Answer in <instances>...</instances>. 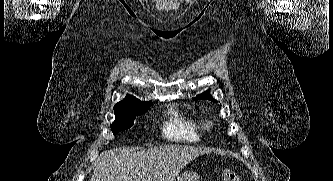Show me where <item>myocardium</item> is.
I'll return each instance as SVG.
<instances>
[{
  "instance_id": "obj_1",
  "label": "myocardium",
  "mask_w": 333,
  "mask_h": 181,
  "mask_svg": "<svg viewBox=\"0 0 333 181\" xmlns=\"http://www.w3.org/2000/svg\"><path fill=\"white\" fill-rule=\"evenodd\" d=\"M207 126H208V127H210L211 125H210V124H208Z\"/></svg>"
}]
</instances>
